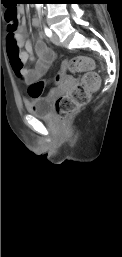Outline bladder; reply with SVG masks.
<instances>
[{
  "mask_svg": "<svg viewBox=\"0 0 122 257\" xmlns=\"http://www.w3.org/2000/svg\"><path fill=\"white\" fill-rule=\"evenodd\" d=\"M25 108L28 113L37 117H47L52 110V99L50 96L33 97L26 102Z\"/></svg>",
  "mask_w": 122,
  "mask_h": 257,
  "instance_id": "31cf9c89",
  "label": "bladder"
}]
</instances>
